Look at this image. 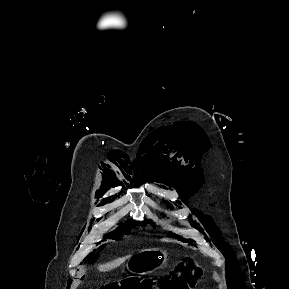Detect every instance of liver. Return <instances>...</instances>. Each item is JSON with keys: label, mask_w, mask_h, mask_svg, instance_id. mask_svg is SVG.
Listing matches in <instances>:
<instances>
[{"label": "liver", "mask_w": 289, "mask_h": 289, "mask_svg": "<svg viewBox=\"0 0 289 289\" xmlns=\"http://www.w3.org/2000/svg\"><path fill=\"white\" fill-rule=\"evenodd\" d=\"M130 256H126V257H123V258H119V259H116L110 263H107V264H103V265H99L98 266V270L101 271V272H106V271H109L111 269H114L118 266H120L122 263L125 262L126 259H128Z\"/></svg>", "instance_id": "1"}]
</instances>
